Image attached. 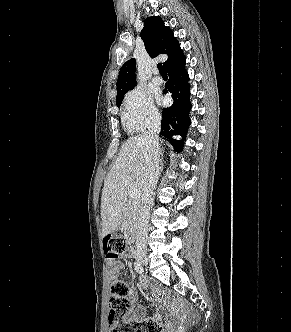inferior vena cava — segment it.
Instances as JSON below:
<instances>
[{"instance_id": "1", "label": "inferior vena cava", "mask_w": 291, "mask_h": 332, "mask_svg": "<svg viewBox=\"0 0 291 332\" xmlns=\"http://www.w3.org/2000/svg\"><path fill=\"white\" fill-rule=\"evenodd\" d=\"M161 130V118L155 117L147 131L141 135V140L146 144V176L142 187V200L139 209L136 252L145 254L147 248V235L150 217V208L153 203V190L156 187L161 171L160 147L158 134Z\"/></svg>"}]
</instances>
